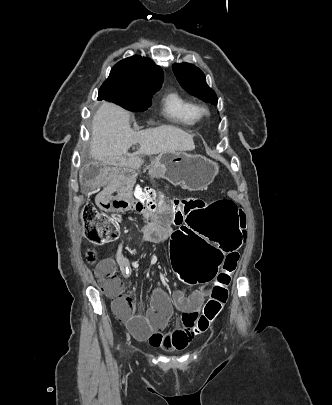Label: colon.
<instances>
[{"label": "colon", "mask_w": 332, "mask_h": 405, "mask_svg": "<svg viewBox=\"0 0 332 405\" xmlns=\"http://www.w3.org/2000/svg\"><path fill=\"white\" fill-rule=\"evenodd\" d=\"M130 189L136 191L132 197H137L142 204L140 212L155 210L159 214L163 208H173L174 221L184 219L183 225L171 234V240H167L168 275H176V281H182L185 287H207L208 281H213V275H216L210 299L196 324L199 330H206L227 302L231 276L237 267V253L242 248L240 207L237 202H230L229 197H215L214 202L205 205L196 198L168 196L153 190L152 184L133 185ZM161 195L168 197L166 204L159 202ZM81 220L87 238L93 243L117 237L116 220L98 211L91 203L82 207ZM87 259L94 262L92 249L88 251ZM103 289L112 297L119 316H132L135 301L113 271L104 274ZM192 334L196 337L199 333L195 330Z\"/></svg>", "instance_id": "colon-1"}]
</instances>
